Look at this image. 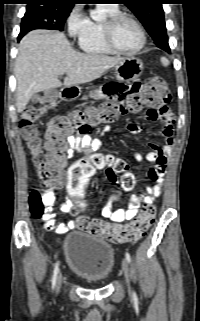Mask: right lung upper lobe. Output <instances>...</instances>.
Here are the masks:
<instances>
[{
	"instance_id": "obj_1",
	"label": "right lung upper lobe",
	"mask_w": 200,
	"mask_h": 321,
	"mask_svg": "<svg viewBox=\"0 0 200 321\" xmlns=\"http://www.w3.org/2000/svg\"><path fill=\"white\" fill-rule=\"evenodd\" d=\"M27 4L31 3H46L52 4L55 6L63 7V8H72L73 5L79 0H26Z\"/></svg>"
}]
</instances>
